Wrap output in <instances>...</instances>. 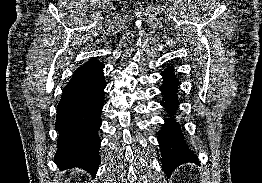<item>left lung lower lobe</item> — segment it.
Returning <instances> with one entry per match:
<instances>
[{
  "mask_svg": "<svg viewBox=\"0 0 262 183\" xmlns=\"http://www.w3.org/2000/svg\"><path fill=\"white\" fill-rule=\"evenodd\" d=\"M173 72V66H168L161 73L164 81L160 87L163 95L161 105L166 108L170 115V118L165 119V125L161 127L158 135L163 170L167 176H170L178 166L184 163H199L197 156L187 146L180 125L174 119L178 106L176 92L179 83Z\"/></svg>",
  "mask_w": 262,
  "mask_h": 183,
  "instance_id": "1",
  "label": "left lung lower lobe"
}]
</instances>
